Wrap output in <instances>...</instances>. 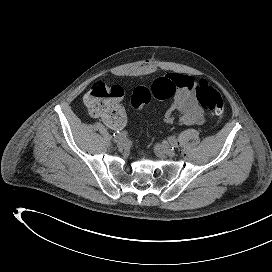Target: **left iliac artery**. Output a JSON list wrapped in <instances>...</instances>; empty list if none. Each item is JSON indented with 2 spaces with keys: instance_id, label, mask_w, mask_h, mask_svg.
<instances>
[{
  "instance_id": "1",
  "label": "left iliac artery",
  "mask_w": 272,
  "mask_h": 272,
  "mask_svg": "<svg viewBox=\"0 0 272 272\" xmlns=\"http://www.w3.org/2000/svg\"><path fill=\"white\" fill-rule=\"evenodd\" d=\"M168 140H169L170 144L172 145V149L178 147L177 140L174 136L168 137Z\"/></svg>"
}]
</instances>
